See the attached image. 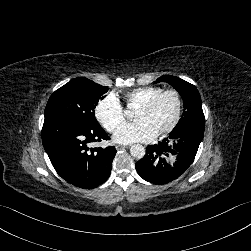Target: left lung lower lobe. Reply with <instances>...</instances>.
Returning <instances> with one entry per match:
<instances>
[{
    "label": "left lung lower lobe",
    "mask_w": 251,
    "mask_h": 251,
    "mask_svg": "<svg viewBox=\"0 0 251 251\" xmlns=\"http://www.w3.org/2000/svg\"><path fill=\"white\" fill-rule=\"evenodd\" d=\"M203 136L204 131L196 129L172 131L169 138L147 147L146 155L135 164L138 174L153 184H167L175 180L194 161ZM170 153L177 155L172 165L164 158L169 157Z\"/></svg>",
    "instance_id": "left-lung-lower-lobe-1"
}]
</instances>
